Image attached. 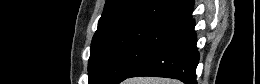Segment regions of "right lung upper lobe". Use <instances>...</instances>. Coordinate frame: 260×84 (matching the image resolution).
<instances>
[{
    "instance_id": "obj_1",
    "label": "right lung upper lobe",
    "mask_w": 260,
    "mask_h": 84,
    "mask_svg": "<svg viewBox=\"0 0 260 84\" xmlns=\"http://www.w3.org/2000/svg\"><path fill=\"white\" fill-rule=\"evenodd\" d=\"M193 0H107L93 41L140 23L179 26L192 17Z\"/></svg>"
}]
</instances>
